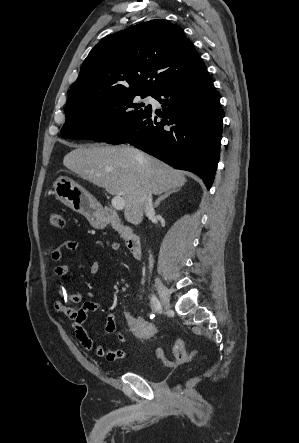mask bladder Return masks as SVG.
Masks as SVG:
<instances>
[{"instance_id": "bladder-1", "label": "bladder", "mask_w": 299, "mask_h": 443, "mask_svg": "<svg viewBox=\"0 0 299 443\" xmlns=\"http://www.w3.org/2000/svg\"><path fill=\"white\" fill-rule=\"evenodd\" d=\"M130 368L132 369L131 372L136 373L147 379L154 378L155 376L154 373H152L151 369L138 367L134 363H131Z\"/></svg>"}]
</instances>
